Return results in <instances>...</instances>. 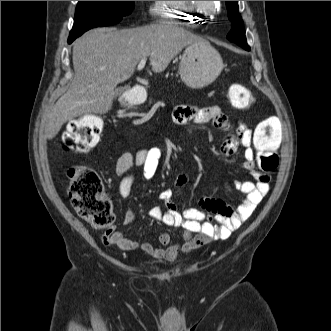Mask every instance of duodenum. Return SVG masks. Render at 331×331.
Wrapping results in <instances>:
<instances>
[{"label":"duodenum","instance_id":"obj_1","mask_svg":"<svg viewBox=\"0 0 331 331\" xmlns=\"http://www.w3.org/2000/svg\"><path fill=\"white\" fill-rule=\"evenodd\" d=\"M145 96V87L142 85H136L126 93L125 99L128 103L140 104L144 101Z\"/></svg>","mask_w":331,"mask_h":331}]
</instances>
